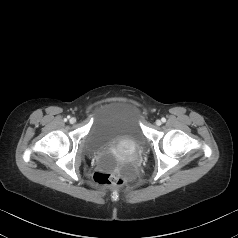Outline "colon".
<instances>
[{
    "label": "colon",
    "mask_w": 238,
    "mask_h": 238,
    "mask_svg": "<svg viewBox=\"0 0 238 238\" xmlns=\"http://www.w3.org/2000/svg\"><path fill=\"white\" fill-rule=\"evenodd\" d=\"M93 180L97 185L105 187H118L121 186L126 176L119 169L104 170L99 169L93 174Z\"/></svg>",
    "instance_id": "obj_1"
}]
</instances>
